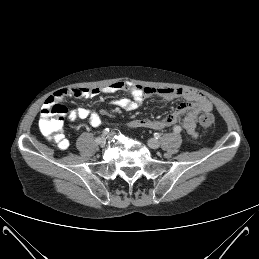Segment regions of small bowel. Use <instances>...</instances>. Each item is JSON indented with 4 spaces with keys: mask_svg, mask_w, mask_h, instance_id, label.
Here are the masks:
<instances>
[{
    "mask_svg": "<svg viewBox=\"0 0 259 259\" xmlns=\"http://www.w3.org/2000/svg\"><path fill=\"white\" fill-rule=\"evenodd\" d=\"M118 91H127L131 99H116L111 104L125 111H133L142 105L149 97L159 96L165 100L182 98V102L176 110L161 120H151L147 118L134 119L128 123L130 128H149L162 130L174 126L180 119L184 131L193 138L197 137V120L201 113L212 111V104L198 91L182 88H158L145 87L129 81H119L102 88H64L58 90L50 96L44 103L46 106L50 101H56L65 97H76L79 99L94 98L101 94H113ZM43 106V107H44ZM68 120H88L91 126L97 127L101 124V114L91 111L85 107L70 110ZM181 128V127H180ZM65 149V148H63Z\"/></svg>",
    "mask_w": 259,
    "mask_h": 259,
    "instance_id": "c3829d8e",
    "label": "small bowel"
}]
</instances>
